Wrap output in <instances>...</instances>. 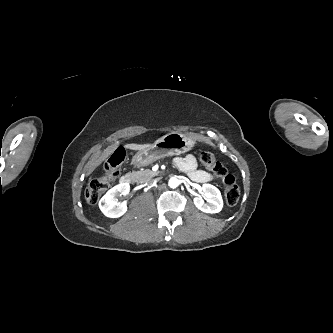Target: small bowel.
I'll use <instances>...</instances> for the list:
<instances>
[{
    "instance_id": "c3829d8e",
    "label": "small bowel",
    "mask_w": 333,
    "mask_h": 333,
    "mask_svg": "<svg viewBox=\"0 0 333 333\" xmlns=\"http://www.w3.org/2000/svg\"><path fill=\"white\" fill-rule=\"evenodd\" d=\"M174 164L196 182L206 183L213 180V176L209 172L197 169L196 159L191 154L175 158Z\"/></svg>"
}]
</instances>
